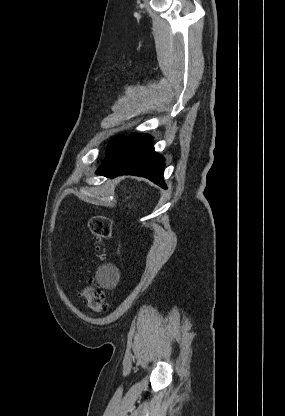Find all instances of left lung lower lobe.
<instances>
[{
    "label": "left lung lower lobe",
    "instance_id": "obj_1",
    "mask_svg": "<svg viewBox=\"0 0 285 416\" xmlns=\"http://www.w3.org/2000/svg\"><path fill=\"white\" fill-rule=\"evenodd\" d=\"M152 140L147 134L137 133L115 137L108 144L106 157L96 174L111 178L119 175L142 176L166 188L163 157L154 151Z\"/></svg>",
    "mask_w": 285,
    "mask_h": 416
}]
</instances>
